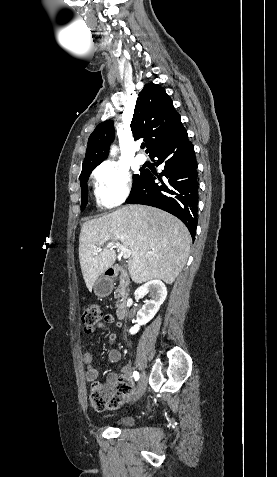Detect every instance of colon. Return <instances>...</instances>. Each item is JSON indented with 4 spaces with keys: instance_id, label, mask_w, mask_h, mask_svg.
<instances>
[{
    "instance_id": "colon-1",
    "label": "colon",
    "mask_w": 277,
    "mask_h": 477,
    "mask_svg": "<svg viewBox=\"0 0 277 477\" xmlns=\"http://www.w3.org/2000/svg\"><path fill=\"white\" fill-rule=\"evenodd\" d=\"M103 317V311L97 303H89L82 310V322L87 333H92ZM126 381L116 383H95L89 397L91 407L98 412L115 409L131 392Z\"/></svg>"
}]
</instances>
